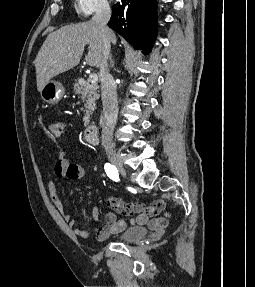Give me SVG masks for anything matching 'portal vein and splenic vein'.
<instances>
[{
	"mask_svg": "<svg viewBox=\"0 0 255 287\" xmlns=\"http://www.w3.org/2000/svg\"><path fill=\"white\" fill-rule=\"evenodd\" d=\"M89 82H92V84H95V82H98V76H97V74H90V76H89Z\"/></svg>",
	"mask_w": 255,
	"mask_h": 287,
	"instance_id": "obj_1",
	"label": "portal vein and splenic vein"
}]
</instances>
